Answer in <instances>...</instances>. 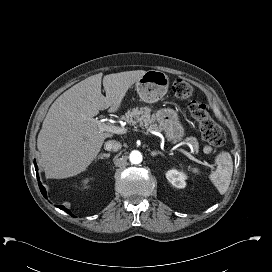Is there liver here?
<instances>
[{"label": "liver", "mask_w": 272, "mask_h": 272, "mask_svg": "<svg viewBox=\"0 0 272 272\" xmlns=\"http://www.w3.org/2000/svg\"><path fill=\"white\" fill-rule=\"evenodd\" d=\"M145 73L135 70L104 76L106 96L101 93L99 73L72 86L54 101L37 139L38 162L47 178H68L86 170L104 140L113 136L100 131L93 117L108 108L116 112L128 89Z\"/></svg>", "instance_id": "1"}]
</instances>
